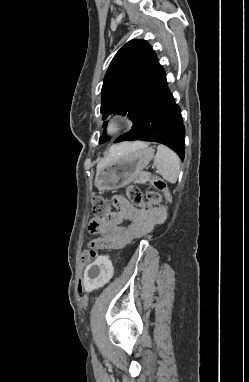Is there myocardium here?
Wrapping results in <instances>:
<instances>
[{
    "label": "myocardium",
    "instance_id": "myocardium-1",
    "mask_svg": "<svg viewBox=\"0 0 249 382\" xmlns=\"http://www.w3.org/2000/svg\"><path fill=\"white\" fill-rule=\"evenodd\" d=\"M123 128V119L119 115L110 116L104 126V132L107 135H114L120 132Z\"/></svg>",
    "mask_w": 249,
    "mask_h": 382
}]
</instances>
